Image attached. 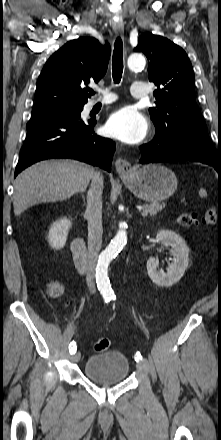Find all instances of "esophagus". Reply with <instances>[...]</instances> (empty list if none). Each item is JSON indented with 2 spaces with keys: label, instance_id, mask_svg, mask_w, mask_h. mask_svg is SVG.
<instances>
[{
  "label": "esophagus",
  "instance_id": "34e87169",
  "mask_svg": "<svg viewBox=\"0 0 221 440\" xmlns=\"http://www.w3.org/2000/svg\"><path fill=\"white\" fill-rule=\"evenodd\" d=\"M112 28L116 34L122 35L124 31V24L121 21H112ZM115 168L121 177L128 176L132 172L131 163L122 158L116 159Z\"/></svg>",
  "mask_w": 221,
  "mask_h": 440
}]
</instances>
